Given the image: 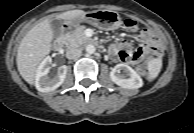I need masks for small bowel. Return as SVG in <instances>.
<instances>
[{"label": "small bowel", "instance_id": "small-bowel-1", "mask_svg": "<svg viewBox=\"0 0 194 133\" xmlns=\"http://www.w3.org/2000/svg\"><path fill=\"white\" fill-rule=\"evenodd\" d=\"M110 52L115 60L138 63L148 62L158 54V40L149 29H143L139 35V44L133 47L126 41H119L111 45Z\"/></svg>", "mask_w": 194, "mask_h": 133}]
</instances>
